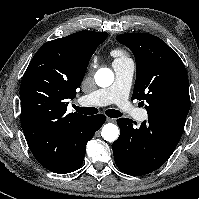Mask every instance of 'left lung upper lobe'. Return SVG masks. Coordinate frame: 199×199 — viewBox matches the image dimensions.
Returning <instances> with one entry per match:
<instances>
[{
    "mask_svg": "<svg viewBox=\"0 0 199 199\" xmlns=\"http://www.w3.org/2000/svg\"><path fill=\"white\" fill-rule=\"evenodd\" d=\"M117 40L135 56L132 99L145 105L148 118L184 129L190 96L187 72L180 57L163 40L148 33L120 34Z\"/></svg>",
    "mask_w": 199,
    "mask_h": 199,
    "instance_id": "left-lung-upper-lobe-1",
    "label": "left lung upper lobe"
}]
</instances>
